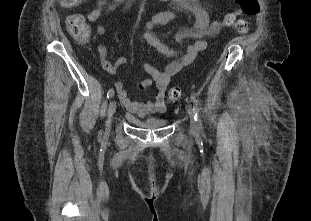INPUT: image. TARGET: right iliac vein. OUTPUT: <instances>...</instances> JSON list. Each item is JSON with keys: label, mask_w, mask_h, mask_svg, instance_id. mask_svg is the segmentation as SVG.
Instances as JSON below:
<instances>
[{"label": "right iliac vein", "mask_w": 311, "mask_h": 221, "mask_svg": "<svg viewBox=\"0 0 311 221\" xmlns=\"http://www.w3.org/2000/svg\"><path fill=\"white\" fill-rule=\"evenodd\" d=\"M116 110V102L112 99L109 102L107 120H106V129L109 130L111 127V118Z\"/></svg>", "instance_id": "63e3f726"}]
</instances>
